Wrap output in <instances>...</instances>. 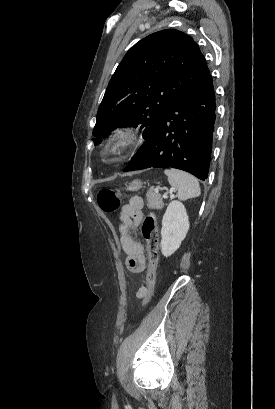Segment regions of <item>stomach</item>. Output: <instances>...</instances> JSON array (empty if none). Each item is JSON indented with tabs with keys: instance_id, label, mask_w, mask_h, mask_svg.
<instances>
[{
	"instance_id": "0dacf381",
	"label": "stomach",
	"mask_w": 275,
	"mask_h": 409,
	"mask_svg": "<svg viewBox=\"0 0 275 409\" xmlns=\"http://www.w3.org/2000/svg\"><path fill=\"white\" fill-rule=\"evenodd\" d=\"M141 186H142L141 180H132V182H129L127 190H139Z\"/></svg>"
}]
</instances>
